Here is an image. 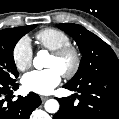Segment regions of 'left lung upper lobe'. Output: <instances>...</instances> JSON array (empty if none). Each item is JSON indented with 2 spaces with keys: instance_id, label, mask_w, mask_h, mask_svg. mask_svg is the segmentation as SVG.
<instances>
[{
  "instance_id": "5c2ea615",
  "label": "left lung upper lobe",
  "mask_w": 119,
  "mask_h": 119,
  "mask_svg": "<svg viewBox=\"0 0 119 119\" xmlns=\"http://www.w3.org/2000/svg\"><path fill=\"white\" fill-rule=\"evenodd\" d=\"M57 27L73 37L82 53L79 69L68 84L79 85L106 75L119 76V60L102 39L78 24Z\"/></svg>"
}]
</instances>
